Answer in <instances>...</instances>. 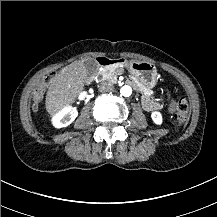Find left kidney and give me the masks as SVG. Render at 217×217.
I'll use <instances>...</instances> for the list:
<instances>
[{"label": "left kidney", "instance_id": "obj_1", "mask_svg": "<svg viewBox=\"0 0 217 217\" xmlns=\"http://www.w3.org/2000/svg\"><path fill=\"white\" fill-rule=\"evenodd\" d=\"M151 118L155 124L157 125L162 124V115L160 112H157V111L152 112Z\"/></svg>", "mask_w": 217, "mask_h": 217}]
</instances>
